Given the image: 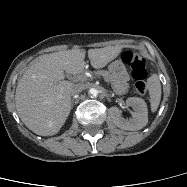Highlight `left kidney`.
Wrapping results in <instances>:
<instances>
[{"mask_svg":"<svg viewBox=\"0 0 187 187\" xmlns=\"http://www.w3.org/2000/svg\"><path fill=\"white\" fill-rule=\"evenodd\" d=\"M126 104L134 110L133 119L126 121L121 117V113L117 107L110 108V115L115 125L124 130H139L146 126L148 122V111L146 103L143 99L130 97L126 100Z\"/></svg>","mask_w":187,"mask_h":187,"instance_id":"5707ae66","label":"left kidney"}]
</instances>
